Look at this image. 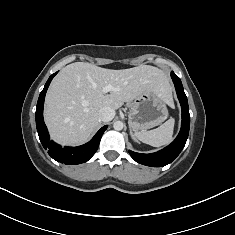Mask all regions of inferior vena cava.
<instances>
[{
	"mask_svg": "<svg viewBox=\"0 0 235 235\" xmlns=\"http://www.w3.org/2000/svg\"><path fill=\"white\" fill-rule=\"evenodd\" d=\"M99 120L103 122L111 121L115 116V110L111 107H102L98 113Z\"/></svg>",
	"mask_w": 235,
	"mask_h": 235,
	"instance_id": "602c4592",
	"label": "inferior vena cava"
}]
</instances>
